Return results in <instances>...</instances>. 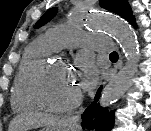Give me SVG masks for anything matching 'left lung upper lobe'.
<instances>
[{
    "mask_svg": "<svg viewBox=\"0 0 151 131\" xmlns=\"http://www.w3.org/2000/svg\"><path fill=\"white\" fill-rule=\"evenodd\" d=\"M100 5L109 11L117 13L126 20H129L130 23L134 20L127 0H100ZM56 13L57 8H51L36 22L35 27L38 28L44 25L51 20Z\"/></svg>",
    "mask_w": 151,
    "mask_h": 131,
    "instance_id": "5c2ea615",
    "label": "left lung upper lobe"
}]
</instances>
